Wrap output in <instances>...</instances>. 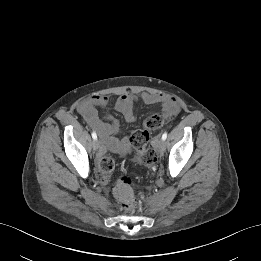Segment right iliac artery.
Instances as JSON below:
<instances>
[{"label":"right iliac artery","mask_w":261,"mask_h":261,"mask_svg":"<svg viewBox=\"0 0 261 261\" xmlns=\"http://www.w3.org/2000/svg\"><path fill=\"white\" fill-rule=\"evenodd\" d=\"M92 138H93L94 140L97 139V135H96V133H95L94 131L92 132Z\"/></svg>","instance_id":"obj_1"}]
</instances>
